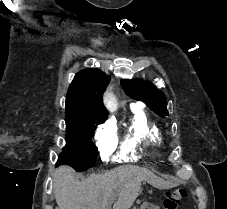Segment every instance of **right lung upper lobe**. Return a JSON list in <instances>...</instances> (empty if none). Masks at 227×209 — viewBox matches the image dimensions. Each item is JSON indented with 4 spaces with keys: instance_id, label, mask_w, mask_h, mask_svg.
Instances as JSON below:
<instances>
[{
    "instance_id": "obj_1",
    "label": "right lung upper lobe",
    "mask_w": 227,
    "mask_h": 209,
    "mask_svg": "<svg viewBox=\"0 0 227 209\" xmlns=\"http://www.w3.org/2000/svg\"><path fill=\"white\" fill-rule=\"evenodd\" d=\"M110 77L98 69H86L76 74L66 96V119L99 116L107 118L102 93Z\"/></svg>"
}]
</instances>
